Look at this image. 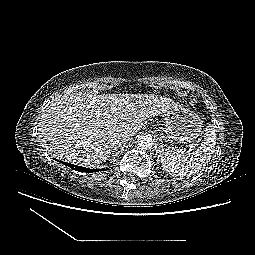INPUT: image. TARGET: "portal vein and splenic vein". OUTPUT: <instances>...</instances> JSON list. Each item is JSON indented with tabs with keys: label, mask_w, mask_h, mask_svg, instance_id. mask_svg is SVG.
I'll list each match as a JSON object with an SVG mask.
<instances>
[{
	"label": "portal vein and splenic vein",
	"mask_w": 255,
	"mask_h": 255,
	"mask_svg": "<svg viewBox=\"0 0 255 255\" xmlns=\"http://www.w3.org/2000/svg\"><path fill=\"white\" fill-rule=\"evenodd\" d=\"M112 109H113V111L115 112V114H116V115H118L117 108L113 107ZM190 147L194 148V146H193V145H192V146H190Z\"/></svg>",
	"instance_id": "18ae733b"
}]
</instances>
